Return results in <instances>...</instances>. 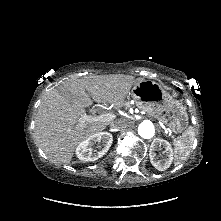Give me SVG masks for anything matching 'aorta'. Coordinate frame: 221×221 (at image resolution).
I'll return each instance as SVG.
<instances>
[{
  "mask_svg": "<svg viewBox=\"0 0 221 221\" xmlns=\"http://www.w3.org/2000/svg\"><path fill=\"white\" fill-rule=\"evenodd\" d=\"M155 129L151 121L145 120L138 127V134L144 139H150L154 136Z\"/></svg>",
  "mask_w": 221,
  "mask_h": 221,
  "instance_id": "1",
  "label": "aorta"
}]
</instances>
